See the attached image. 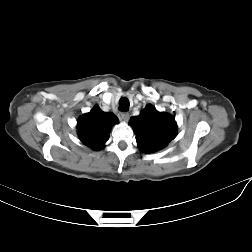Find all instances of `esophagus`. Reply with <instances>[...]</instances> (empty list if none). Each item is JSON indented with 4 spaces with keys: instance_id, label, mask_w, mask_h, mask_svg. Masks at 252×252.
<instances>
[{
    "instance_id": "obj_1",
    "label": "esophagus",
    "mask_w": 252,
    "mask_h": 252,
    "mask_svg": "<svg viewBox=\"0 0 252 252\" xmlns=\"http://www.w3.org/2000/svg\"><path fill=\"white\" fill-rule=\"evenodd\" d=\"M130 116L128 113H122L121 114V119L124 121V122H127L129 120Z\"/></svg>"
}]
</instances>
